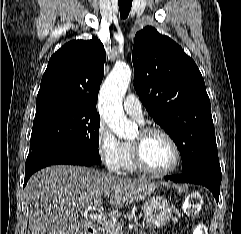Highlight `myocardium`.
<instances>
[{
    "mask_svg": "<svg viewBox=\"0 0 241 234\" xmlns=\"http://www.w3.org/2000/svg\"><path fill=\"white\" fill-rule=\"evenodd\" d=\"M139 132L141 135V140L130 143L132 159H133V162H134L136 168L139 171L144 172L148 175L158 176V177L166 176V175L173 173L178 168L180 161H181V149H180L179 144L175 140V138L168 131H166L165 129H163L161 127H155V126L154 127H145V128H142ZM153 134H160V135L164 136L171 143V145L174 149V152H175L174 163L167 169L155 170V169L149 167L144 160L143 141L145 138H147L148 136L153 135Z\"/></svg>",
    "mask_w": 241,
    "mask_h": 234,
    "instance_id": "obj_1",
    "label": "myocardium"
}]
</instances>
